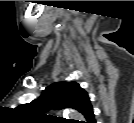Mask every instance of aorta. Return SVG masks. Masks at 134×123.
I'll use <instances>...</instances> for the list:
<instances>
[{
  "label": "aorta",
  "instance_id": "762f6f07",
  "mask_svg": "<svg viewBox=\"0 0 134 123\" xmlns=\"http://www.w3.org/2000/svg\"><path fill=\"white\" fill-rule=\"evenodd\" d=\"M66 115L71 118H82V116L75 110H67Z\"/></svg>",
  "mask_w": 134,
  "mask_h": 123
}]
</instances>
